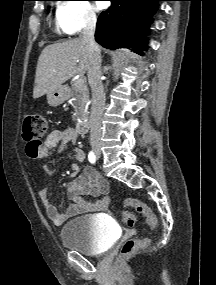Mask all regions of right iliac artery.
I'll return each mask as SVG.
<instances>
[{"mask_svg":"<svg viewBox=\"0 0 216 285\" xmlns=\"http://www.w3.org/2000/svg\"><path fill=\"white\" fill-rule=\"evenodd\" d=\"M88 160L90 163L94 164L96 162V156L93 151H90L88 154Z\"/></svg>","mask_w":216,"mask_h":285,"instance_id":"82829eb1","label":"right iliac artery"}]
</instances>
